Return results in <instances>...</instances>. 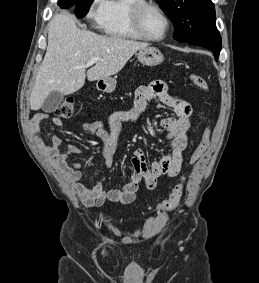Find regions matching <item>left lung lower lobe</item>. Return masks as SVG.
Instances as JSON below:
<instances>
[{
	"label": "left lung lower lobe",
	"instance_id": "left-lung-lower-lobe-1",
	"mask_svg": "<svg viewBox=\"0 0 259 283\" xmlns=\"http://www.w3.org/2000/svg\"><path fill=\"white\" fill-rule=\"evenodd\" d=\"M187 43L192 44V45L205 47V48L213 51V54L216 57V59H218L219 53H220L221 48H222V40H221L220 35H218L214 38H210V39L196 40V41H191V42H187Z\"/></svg>",
	"mask_w": 259,
	"mask_h": 283
}]
</instances>
